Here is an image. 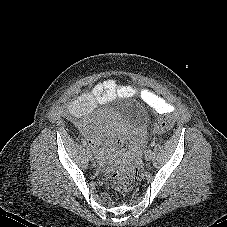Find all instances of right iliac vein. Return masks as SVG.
<instances>
[{
  "label": "right iliac vein",
  "mask_w": 227,
  "mask_h": 227,
  "mask_svg": "<svg viewBox=\"0 0 227 227\" xmlns=\"http://www.w3.org/2000/svg\"><path fill=\"white\" fill-rule=\"evenodd\" d=\"M87 155H88V157H89L91 160L94 159V157H93V155H92V153H91V151H90L89 149H87Z\"/></svg>",
  "instance_id": "right-iliac-vein-1"
}]
</instances>
